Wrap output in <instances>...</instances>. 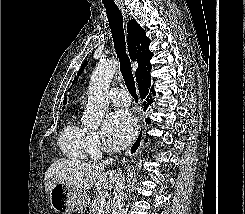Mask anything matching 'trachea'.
Masks as SVG:
<instances>
[{"instance_id": "obj_1", "label": "trachea", "mask_w": 245, "mask_h": 214, "mask_svg": "<svg viewBox=\"0 0 245 214\" xmlns=\"http://www.w3.org/2000/svg\"><path fill=\"white\" fill-rule=\"evenodd\" d=\"M106 9L114 48L120 61L121 73L128 91L131 93L135 101H138L136 93L135 81L132 74L131 62L125 47V35L123 29V17L120 9L116 4L104 3Z\"/></svg>"}]
</instances>
